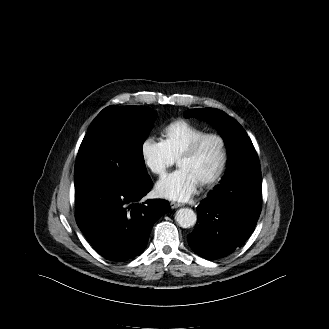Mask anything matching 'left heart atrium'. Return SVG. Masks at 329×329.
Instances as JSON below:
<instances>
[{
	"mask_svg": "<svg viewBox=\"0 0 329 329\" xmlns=\"http://www.w3.org/2000/svg\"><path fill=\"white\" fill-rule=\"evenodd\" d=\"M199 181L186 169L168 174L156 184V193L163 198L183 202L197 190Z\"/></svg>",
	"mask_w": 329,
	"mask_h": 329,
	"instance_id": "left-heart-atrium-1",
	"label": "left heart atrium"
}]
</instances>
